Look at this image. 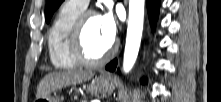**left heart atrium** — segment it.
Wrapping results in <instances>:
<instances>
[{"instance_id":"obj_1","label":"left heart atrium","mask_w":221,"mask_h":102,"mask_svg":"<svg viewBox=\"0 0 221 102\" xmlns=\"http://www.w3.org/2000/svg\"><path fill=\"white\" fill-rule=\"evenodd\" d=\"M99 22L103 37L107 41L112 43L115 39L117 32L116 20L113 14L110 11L104 13L102 16L99 17Z\"/></svg>"}]
</instances>
